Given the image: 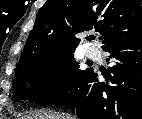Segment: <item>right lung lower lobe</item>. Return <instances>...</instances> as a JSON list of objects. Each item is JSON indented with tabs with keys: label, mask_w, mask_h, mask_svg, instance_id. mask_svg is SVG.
Segmentation results:
<instances>
[{
	"label": "right lung lower lobe",
	"mask_w": 142,
	"mask_h": 119,
	"mask_svg": "<svg viewBox=\"0 0 142 119\" xmlns=\"http://www.w3.org/2000/svg\"><path fill=\"white\" fill-rule=\"evenodd\" d=\"M113 66L106 83L90 69L55 105H70L80 119H142V36L104 49Z\"/></svg>",
	"instance_id": "obj_1"
}]
</instances>
